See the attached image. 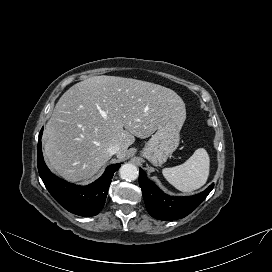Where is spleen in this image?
<instances>
[{"label":"spleen","mask_w":272,"mask_h":272,"mask_svg":"<svg viewBox=\"0 0 272 272\" xmlns=\"http://www.w3.org/2000/svg\"><path fill=\"white\" fill-rule=\"evenodd\" d=\"M209 168V155L204 148H199L186 162L175 167L164 168L162 173L176 189L182 192H191L207 182Z\"/></svg>","instance_id":"1"}]
</instances>
